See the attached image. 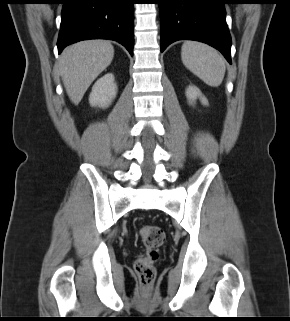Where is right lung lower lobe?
Segmentation results:
<instances>
[{
  "instance_id": "1",
  "label": "right lung lower lobe",
  "mask_w": 290,
  "mask_h": 321,
  "mask_svg": "<svg viewBox=\"0 0 290 321\" xmlns=\"http://www.w3.org/2000/svg\"><path fill=\"white\" fill-rule=\"evenodd\" d=\"M133 0H64L58 51L87 39L121 43L133 56Z\"/></svg>"
}]
</instances>
